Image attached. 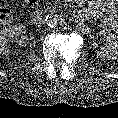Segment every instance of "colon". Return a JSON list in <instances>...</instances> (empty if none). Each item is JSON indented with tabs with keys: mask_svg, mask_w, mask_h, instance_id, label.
Returning a JSON list of instances; mask_svg holds the SVG:
<instances>
[{
	"mask_svg": "<svg viewBox=\"0 0 118 118\" xmlns=\"http://www.w3.org/2000/svg\"><path fill=\"white\" fill-rule=\"evenodd\" d=\"M29 3H35L37 0H26ZM12 19V12L8 7L6 1L0 0V25H5L10 23Z\"/></svg>",
	"mask_w": 118,
	"mask_h": 118,
	"instance_id": "1",
	"label": "colon"
}]
</instances>
